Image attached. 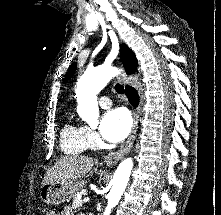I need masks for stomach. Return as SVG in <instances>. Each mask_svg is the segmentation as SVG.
Segmentation results:
<instances>
[{"instance_id":"0dacf381","label":"stomach","mask_w":221,"mask_h":215,"mask_svg":"<svg viewBox=\"0 0 221 215\" xmlns=\"http://www.w3.org/2000/svg\"><path fill=\"white\" fill-rule=\"evenodd\" d=\"M87 184V176L71 184L50 182L41 187L40 198L49 205H59L69 201L74 194Z\"/></svg>"}]
</instances>
